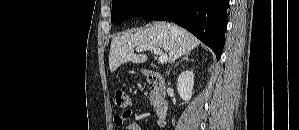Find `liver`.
<instances>
[{"label": "liver", "mask_w": 299, "mask_h": 130, "mask_svg": "<svg viewBox=\"0 0 299 130\" xmlns=\"http://www.w3.org/2000/svg\"><path fill=\"white\" fill-rule=\"evenodd\" d=\"M200 41L187 30L175 24L155 22L137 32H126L112 39L109 53V67L113 73L120 65L133 62L143 63L145 54H134L139 46L161 47L168 54L170 63L197 48Z\"/></svg>", "instance_id": "liver-1"}]
</instances>
